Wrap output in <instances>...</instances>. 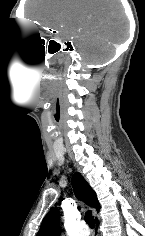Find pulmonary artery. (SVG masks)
<instances>
[{
    "instance_id": "1",
    "label": "pulmonary artery",
    "mask_w": 145,
    "mask_h": 236,
    "mask_svg": "<svg viewBox=\"0 0 145 236\" xmlns=\"http://www.w3.org/2000/svg\"><path fill=\"white\" fill-rule=\"evenodd\" d=\"M78 235L79 236H89L90 235V230L84 222L81 223V225L79 226Z\"/></svg>"
}]
</instances>
